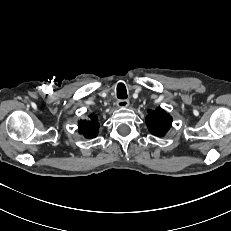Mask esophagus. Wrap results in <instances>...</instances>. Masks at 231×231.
I'll list each match as a JSON object with an SVG mask.
<instances>
[{
  "label": "esophagus",
  "instance_id": "obj_1",
  "mask_svg": "<svg viewBox=\"0 0 231 231\" xmlns=\"http://www.w3.org/2000/svg\"><path fill=\"white\" fill-rule=\"evenodd\" d=\"M117 106H118L119 108H126V107L129 106V100H127V99L118 100V101H117Z\"/></svg>",
  "mask_w": 231,
  "mask_h": 231
}]
</instances>
